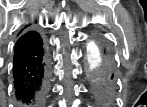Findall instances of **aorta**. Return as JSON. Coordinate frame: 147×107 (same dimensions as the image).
Masks as SVG:
<instances>
[{
	"mask_svg": "<svg viewBox=\"0 0 147 107\" xmlns=\"http://www.w3.org/2000/svg\"><path fill=\"white\" fill-rule=\"evenodd\" d=\"M88 62L90 64L93 75L99 76L100 74H109V69L106 66V54L92 44L89 46Z\"/></svg>",
	"mask_w": 147,
	"mask_h": 107,
	"instance_id": "1",
	"label": "aorta"
}]
</instances>
